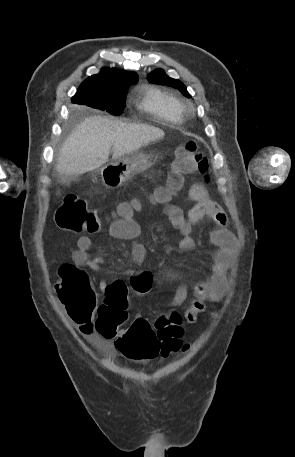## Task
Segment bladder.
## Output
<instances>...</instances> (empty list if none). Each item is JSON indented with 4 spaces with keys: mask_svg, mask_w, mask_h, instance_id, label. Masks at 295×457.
<instances>
[{
    "mask_svg": "<svg viewBox=\"0 0 295 457\" xmlns=\"http://www.w3.org/2000/svg\"><path fill=\"white\" fill-rule=\"evenodd\" d=\"M87 347H106V338H87Z\"/></svg>",
    "mask_w": 295,
    "mask_h": 457,
    "instance_id": "obj_1",
    "label": "bladder"
}]
</instances>
